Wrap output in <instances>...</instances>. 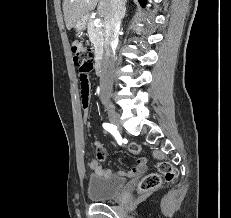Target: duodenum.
<instances>
[{"mask_svg": "<svg viewBox=\"0 0 231 218\" xmlns=\"http://www.w3.org/2000/svg\"><path fill=\"white\" fill-rule=\"evenodd\" d=\"M94 68L97 75L99 76L103 75L104 67H103L102 57L100 55H97V58L94 63Z\"/></svg>", "mask_w": 231, "mask_h": 218, "instance_id": "obj_1", "label": "duodenum"}]
</instances>
